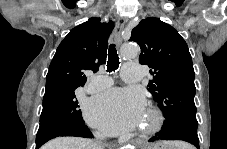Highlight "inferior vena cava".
<instances>
[{"mask_svg":"<svg viewBox=\"0 0 227 149\" xmlns=\"http://www.w3.org/2000/svg\"><path fill=\"white\" fill-rule=\"evenodd\" d=\"M95 135H96V137L98 139H103L104 138V136L102 134H100V133H96Z\"/></svg>","mask_w":227,"mask_h":149,"instance_id":"inferior-vena-cava-1","label":"inferior vena cava"}]
</instances>
